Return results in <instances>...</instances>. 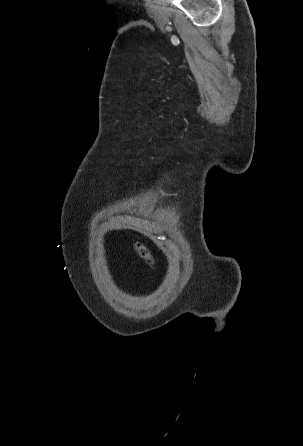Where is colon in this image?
Here are the masks:
<instances>
[{
	"mask_svg": "<svg viewBox=\"0 0 303 446\" xmlns=\"http://www.w3.org/2000/svg\"><path fill=\"white\" fill-rule=\"evenodd\" d=\"M135 251L137 254L143 258L150 266L154 264V259L149 252V250L142 244V243H136L135 244Z\"/></svg>",
	"mask_w": 303,
	"mask_h": 446,
	"instance_id": "colon-1",
	"label": "colon"
}]
</instances>
